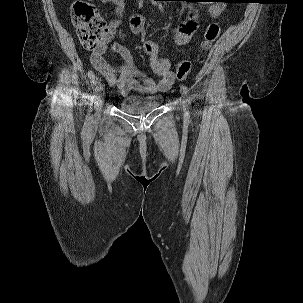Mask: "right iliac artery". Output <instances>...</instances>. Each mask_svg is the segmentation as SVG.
<instances>
[{"label": "right iliac artery", "instance_id": "obj_1", "mask_svg": "<svg viewBox=\"0 0 303 303\" xmlns=\"http://www.w3.org/2000/svg\"><path fill=\"white\" fill-rule=\"evenodd\" d=\"M103 90V85L100 83L98 79L95 80L94 82V90H93V95L89 97L90 99V108H89V113L86 116V121L89 122L91 120V106L93 104L94 99L98 96V94Z\"/></svg>", "mask_w": 303, "mask_h": 303}]
</instances>
